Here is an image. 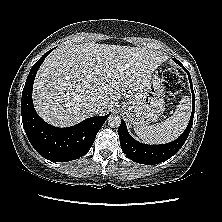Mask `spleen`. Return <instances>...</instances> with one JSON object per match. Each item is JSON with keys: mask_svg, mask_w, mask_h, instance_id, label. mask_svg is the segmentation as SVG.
<instances>
[{"mask_svg": "<svg viewBox=\"0 0 222 222\" xmlns=\"http://www.w3.org/2000/svg\"><path fill=\"white\" fill-rule=\"evenodd\" d=\"M191 114V102L184 96L174 114L161 123L135 126L136 135L149 144H164L176 139L186 128Z\"/></svg>", "mask_w": 222, "mask_h": 222, "instance_id": "3e777b00", "label": "spleen"}]
</instances>
